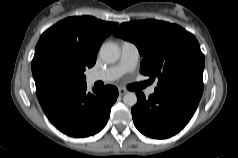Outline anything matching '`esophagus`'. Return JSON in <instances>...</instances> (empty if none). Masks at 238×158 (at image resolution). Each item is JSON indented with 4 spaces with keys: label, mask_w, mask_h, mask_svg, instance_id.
I'll return each mask as SVG.
<instances>
[{
    "label": "esophagus",
    "mask_w": 238,
    "mask_h": 158,
    "mask_svg": "<svg viewBox=\"0 0 238 158\" xmlns=\"http://www.w3.org/2000/svg\"><path fill=\"white\" fill-rule=\"evenodd\" d=\"M118 91H119V95H121V96L127 93V90H125L123 88H119Z\"/></svg>",
    "instance_id": "1"
}]
</instances>
